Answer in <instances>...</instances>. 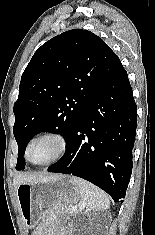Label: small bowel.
<instances>
[{
    "mask_svg": "<svg viewBox=\"0 0 155 235\" xmlns=\"http://www.w3.org/2000/svg\"><path fill=\"white\" fill-rule=\"evenodd\" d=\"M68 220L65 216L54 210L45 213L42 224L34 235H70Z\"/></svg>",
    "mask_w": 155,
    "mask_h": 235,
    "instance_id": "1",
    "label": "small bowel"
}]
</instances>
